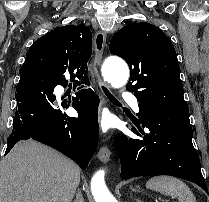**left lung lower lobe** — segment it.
Returning <instances> with one entry per match:
<instances>
[{"instance_id":"obj_1","label":"left lung lower lobe","mask_w":209,"mask_h":202,"mask_svg":"<svg viewBox=\"0 0 209 202\" xmlns=\"http://www.w3.org/2000/svg\"><path fill=\"white\" fill-rule=\"evenodd\" d=\"M138 123L130 136L116 134L114 149L121 177L170 175L196 183L208 193L198 154L192 144L189 110L139 103ZM142 123L147 133L139 126Z\"/></svg>"}]
</instances>
